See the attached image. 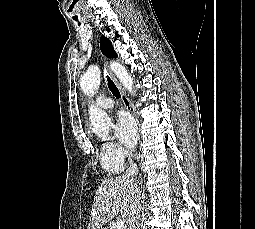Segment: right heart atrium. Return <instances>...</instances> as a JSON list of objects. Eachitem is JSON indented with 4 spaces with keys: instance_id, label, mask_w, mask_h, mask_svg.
Returning <instances> with one entry per match:
<instances>
[{
    "instance_id": "d8ad5b80",
    "label": "right heart atrium",
    "mask_w": 255,
    "mask_h": 229,
    "mask_svg": "<svg viewBox=\"0 0 255 229\" xmlns=\"http://www.w3.org/2000/svg\"><path fill=\"white\" fill-rule=\"evenodd\" d=\"M106 158L115 163H124L128 152L117 143L108 142L102 145Z\"/></svg>"
}]
</instances>
